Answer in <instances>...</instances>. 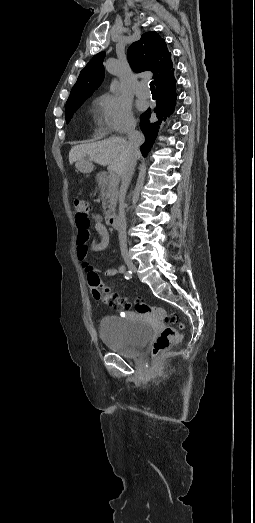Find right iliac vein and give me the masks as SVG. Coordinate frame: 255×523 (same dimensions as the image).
<instances>
[{
  "mask_svg": "<svg viewBox=\"0 0 255 523\" xmlns=\"http://www.w3.org/2000/svg\"><path fill=\"white\" fill-rule=\"evenodd\" d=\"M125 263H126L127 267L129 268V270H131L132 272H136L137 267L131 259L125 258Z\"/></svg>",
  "mask_w": 255,
  "mask_h": 523,
  "instance_id": "1",
  "label": "right iliac vein"
}]
</instances>
